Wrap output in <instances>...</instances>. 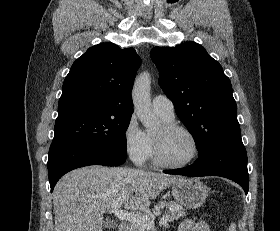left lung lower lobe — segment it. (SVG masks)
Wrapping results in <instances>:
<instances>
[{
    "instance_id": "left-lung-lower-lobe-1",
    "label": "left lung lower lobe",
    "mask_w": 280,
    "mask_h": 231,
    "mask_svg": "<svg viewBox=\"0 0 280 231\" xmlns=\"http://www.w3.org/2000/svg\"><path fill=\"white\" fill-rule=\"evenodd\" d=\"M164 173L175 175L220 176L238 183L248 193L249 175L247 170V153L241 137L221 141L206 149L194 164Z\"/></svg>"
}]
</instances>
